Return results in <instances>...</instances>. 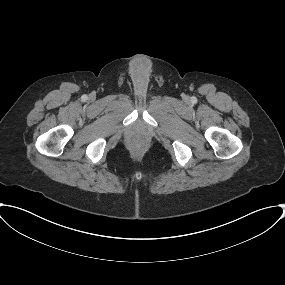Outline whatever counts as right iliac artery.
Listing matches in <instances>:
<instances>
[{
	"mask_svg": "<svg viewBox=\"0 0 285 285\" xmlns=\"http://www.w3.org/2000/svg\"><path fill=\"white\" fill-rule=\"evenodd\" d=\"M87 98H88L87 95H83V96H82V100H83V101L87 100Z\"/></svg>",
	"mask_w": 285,
	"mask_h": 285,
	"instance_id": "right-iliac-artery-1",
	"label": "right iliac artery"
}]
</instances>
